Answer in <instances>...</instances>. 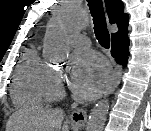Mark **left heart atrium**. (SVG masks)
<instances>
[{
    "label": "left heart atrium",
    "instance_id": "obj_1",
    "mask_svg": "<svg viewBox=\"0 0 151 131\" xmlns=\"http://www.w3.org/2000/svg\"><path fill=\"white\" fill-rule=\"evenodd\" d=\"M111 80V72L101 57L92 52L74 56L68 85L82 99H93L102 93Z\"/></svg>",
    "mask_w": 151,
    "mask_h": 131
}]
</instances>
